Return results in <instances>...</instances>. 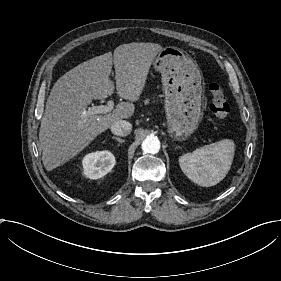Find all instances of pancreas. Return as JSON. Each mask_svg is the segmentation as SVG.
I'll return each mask as SVG.
<instances>
[{
  "mask_svg": "<svg viewBox=\"0 0 281 281\" xmlns=\"http://www.w3.org/2000/svg\"><path fill=\"white\" fill-rule=\"evenodd\" d=\"M149 101H150V99H149L148 97H146V98L144 99L143 103H144V104H148ZM151 101H152V103H155V102H158L159 100L156 99L155 97H152Z\"/></svg>",
  "mask_w": 281,
  "mask_h": 281,
  "instance_id": "obj_1",
  "label": "pancreas"
}]
</instances>
